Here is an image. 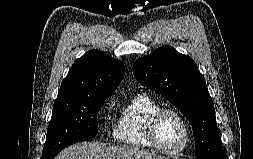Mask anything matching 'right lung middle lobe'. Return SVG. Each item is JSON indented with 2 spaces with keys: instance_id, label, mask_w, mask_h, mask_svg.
Wrapping results in <instances>:
<instances>
[{
  "instance_id": "right-lung-middle-lobe-1",
  "label": "right lung middle lobe",
  "mask_w": 253,
  "mask_h": 159,
  "mask_svg": "<svg viewBox=\"0 0 253 159\" xmlns=\"http://www.w3.org/2000/svg\"><path fill=\"white\" fill-rule=\"evenodd\" d=\"M108 96H75L56 99L48 126L42 159H53L65 147L94 137L97 112Z\"/></svg>"
}]
</instances>
